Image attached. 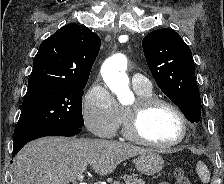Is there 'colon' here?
<instances>
[{
    "mask_svg": "<svg viewBox=\"0 0 224 184\" xmlns=\"http://www.w3.org/2000/svg\"><path fill=\"white\" fill-rule=\"evenodd\" d=\"M176 184H192L189 176L183 168H177L174 172Z\"/></svg>",
    "mask_w": 224,
    "mask_h": 184,
    "instance_id": "colon-1",
    "label": "colon"
}]
</instances>
